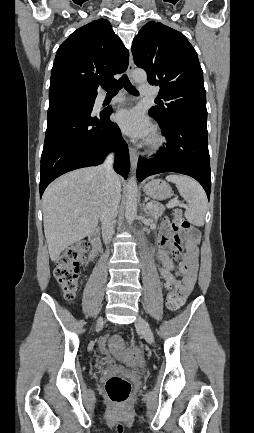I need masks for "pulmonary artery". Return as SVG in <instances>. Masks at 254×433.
Returning a JSON list of instances; mask_svg holds the SVG:
<instances>
[{"instance_id": "e3ab8cb5", "label": "pulmonary artery", "mask_w": 254, "mask_h": 433, "mask_svg": "<svg viewBox=\"0 0 254 433\" xmlns=\"http://www.w3.org/2000/svg\"><path fill=\"white\" fill-rule=\"evenodd\" d=\"M140 92L143 95H147V96H152L155 95L157 93V90L152 87L151 85H146V84H142L140 86ZM114 102H122L124 101L123 97H116L113 99Z\"/></svg>"}]
</instances>
